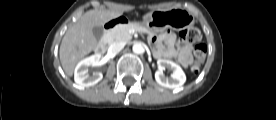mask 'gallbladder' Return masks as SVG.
<instances>
[{
	"label": "gallbladder",
	"mask_w": 276,
	"mask_h": 120,
	"mask_svg": "<svg viewBox=\"0 0 276 120\" xmlns=\"http://www.w3.org/2000/svg\"><path fill=\"white\" fill-rule=\"evenodd\" d=\"M94 36L99 40L103 36V28L102 27H93L92 29Z\"/></svg>",
	"instance_id": "gallbladder-1"
}]
</instances>
